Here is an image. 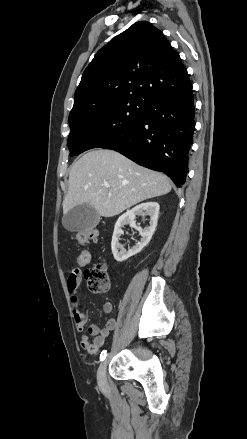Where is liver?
I'll list each match as a JSON object with an SVG mask.
<instances>
[{"instance_id":"liver-1","label":"liver","mask_w":247,"mask_h":439,"mask_svg":"<svg viewBox=\"0 0 247 439\" xmlns=\"http://www.w3.org/2000/svg\"><path fill=\"white\" fill-rule=\"evenodd\" d=\"M108 183L110 187H105ZM169 178L107 149L84 154L71 167L63 213L81 204L100 216L112 217L144 200L171 191Z\"/></svg>"}]
</instances>
